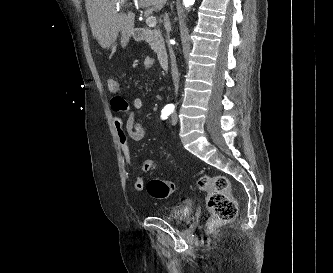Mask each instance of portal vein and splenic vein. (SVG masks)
Instances as JSON below:
<instances>
[{
    "label": "portal vein and splenic vein",
    "mask_w": 333,
    "mask_h": 273,
    "mask_svg": "<svg viewBox=\"0 0 333 273\" xmlns=\"http://www.w3.org/2000/svg\"><path fill=\"white\" fill-rule=\"evenodd\" d=\"M123 5V4H122ZM120 7H121V5H117V7H116V11H118L119 9H120ZM156 23H157V21H156V18L155 17H153V16H148L147 17V19H146V24L149 26V27H151V28H153V27H155L156 26Z\"/></svg>",
    "instance_id": "portal-vein-and-splenic-vein-1"
}]
</instances>
